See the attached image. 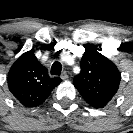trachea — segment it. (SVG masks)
Masks as SVG:
<instances>
[{
	"label": "trachea",
	"mask_w": 133,
	"mask_h": 133,
	"mask_svg": "<svg viewBox=\"0 0 133 133\" xmlns=\"http://www.w3.org/2000/svg\"><path fill=\"white\" fill-rule=\"evenodd\" d=\"M62 71V65L60 62L56 61L52 64L51 74L52 75H60Z\"/></svg>",
	"instance_id": "1"
}]
</instances>
